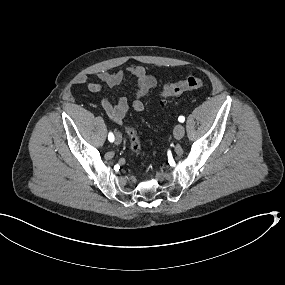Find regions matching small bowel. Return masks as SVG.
I'll return each instance as SVG.
<instances>
[{
  "mask_svg": "<svg viewBox=\"0 0 285 285\" xmlns=\"http://www.w3.org/2000/svg\"><path fill=\"white\" fill-rule=\"evenodd\" d=\"M126 74L133 76L136 79V98L132 102V108L136 112H142L144 110L143 98L155 87L157 80L156 77L147 72L142 66H133L127 72H107L102 71L97 74V78L101 83L109 87H115L119 85L125 78ZM97 81H91L86 76H79L76 79L78 85L85 86L91 93H100L102 86ZM101 106L108 115V117L116 124H122L128 110L129 103L126 98L120 97L115 103L103 98L101 100Z\"/></svg>",
  "mask_w": 285,
  "mask_h": 285,
  "instance_id": "1",
  "label": "small bowel"
}]
</instances>
